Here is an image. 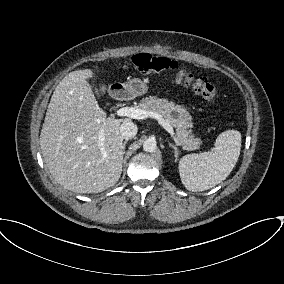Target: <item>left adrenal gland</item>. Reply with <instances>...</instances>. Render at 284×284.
<instances>
[{"label": "left adrenal gland", "mask_w": 284, "mask_h": 284, "mask_svg": "<svg viewBox=\"0 0 284 284\" xmlns=\"http://www.w3.org/2000/svg\"><path fill=\"white\" fill-rule=\"evenodd\" d=\"M169 146L173 148V150H174V156H175V158L177 159V158H178V155H179V150H178L177 146L174 145V144H172V143H170V142H169Z\"/></svg>", "instance_id": "1"}]
</instances>
